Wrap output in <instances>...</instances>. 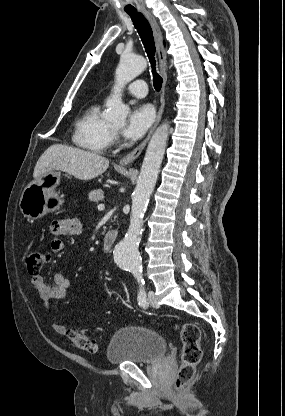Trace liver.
Wrapping results in <instances>:
<instances>
[{
	"label": "liver",
	"instance_id": "obj_1",
	"mask_svg": "<svg viewBox=\"0 0 285 416\" xmlns=\"http://www.w3.org/2000/svg\"><path fill=\"white\" fill-rule=\"evenodd\" d=\"M109 166V160L93 154V152H85L79 148H70V146H61V144H53L50 146L41 158H39L33 172V178L36 182L40 176L52 172V170H61L66 172L78 180H93L97 176H101L106 172Z\"/></svg>",
	"mask_w": 285,
	"mask_h": 416
}]
</instances>
